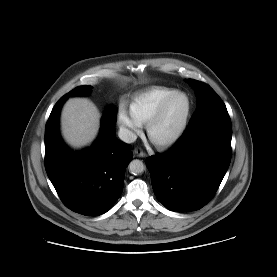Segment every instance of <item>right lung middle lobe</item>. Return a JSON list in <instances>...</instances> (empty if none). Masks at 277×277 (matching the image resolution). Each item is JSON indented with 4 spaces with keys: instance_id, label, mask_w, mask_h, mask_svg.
Returning <instances> with one entry per match:
<instances>
[{
    "instance_id": "1",
    "label": "right lung middle lobe",
    "mask_w": 277,
    "mask_h": 277,
    "mask_svg": "<svg viewBox=\"0 0 277 277\" xmlns=\"http://www.w3.org/2000/svg\"><path fill=\"white\" fill-rule=\"evenodd\" d=\"M91 89H92V86L77 87V88L73 89L72 91H70L69 93H67L66 95H64L61 98V100L65 101L70 96H86L90 93ZM105 117L107 119H109L111 122L115 123L116 118H117L116 109L114 107H111L110 109H108L107 112H106Z\"/></svg>"
}]
</instances>
